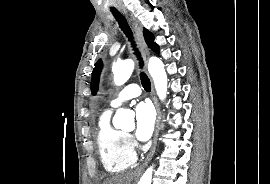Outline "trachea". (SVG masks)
<instances>
[{"mask_svg":"<svg viewBox=\"0 0 270 184\" xmlns=\"http://www.w3.org/2000/svg\"><path fill=\"white\" fill-rule=\"evenodd\" d=\"M112 14L114 15L115 19L118 21V24H119V27L121 28V30L128 37V40L131 41L132 47L135 50L134 54L137 56V59L139 60V66L142 68L143 67V60L141 58L140 52L136 49L135 42L133 41L132 31H131L127 21L117 10H112ZM140 78H141V83H142L143 88L146 91H150L151 83H150V80L147 77V75L144 72H141Z\"/></svg>","mask_w":270,"mask_h":184,"instance_id":"3493384b","label":"trachea"}]
</instances>
